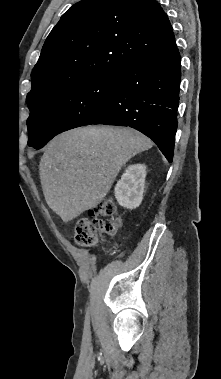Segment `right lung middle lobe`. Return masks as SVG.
<instances>
[{
	"label": "right lung middle lobe",
	"instance_id": "1",
	"mask_svg": "<svg viewBox=\"0 0 221 379\" xmlns=\"http://www.w3.org/2000/svg\"><path fill=\"white\" fill-rule=\"evenodd\" d=\"M119 71L82 78L56 87L27 102L28 145L42 148L55 135L97 117L111 101Z\"/></svg>",
	"mask_w": 221,
	"mask_h": 379
}]
</instances>
